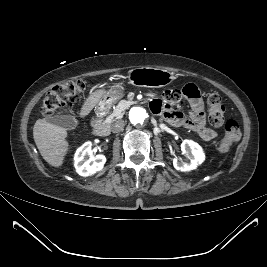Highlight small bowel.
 Masks as SVG:
<instances>
[{"instance_id": "obj_1", "label": "small bowel", "mask_w": 267, "mask_h": 267, "mask_svg": "<svg viewBox=\"0 0 267 267\" xmlns=\"http://www.w3.org/2000/svg\"><path fill=\"white\" fill-rule=\"evenodd\" d=\"M184 101L190 105L189 116L174 108ZM150 108L170 124L188 128L205 141H211L217 136L216 131L207 126L204 103L195 84L188 83L181 89L167 90L163 99L156 98L151 101Z\"/></svg>"}]
</instances>
